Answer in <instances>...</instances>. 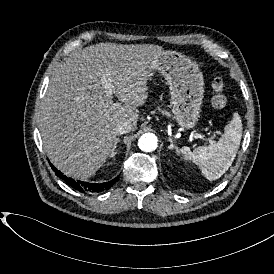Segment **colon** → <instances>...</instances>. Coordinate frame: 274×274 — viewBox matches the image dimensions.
Instances as JSON below:
<instances>
[{
  "label": "colon",
  "instance_id": "1",
  "mask_svg": "<svg viewBox=\"0 0 274 274\" xmlns=\"http://www.w3.org/2000/svg\"><path fill=\"white\" fill-rule=\"evenodd\" d=\"M213 88V97H212V105L217 108L221 109L226 106L227 98L224 91V85L222 80L219 77H215L212 82Z\"/></svg>",
  "mask_w": 274,
  "mask_h": 274
}]
</instances>
